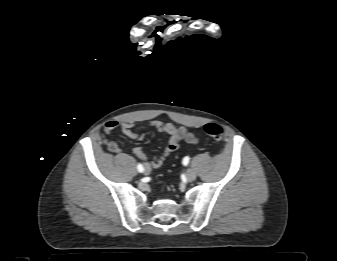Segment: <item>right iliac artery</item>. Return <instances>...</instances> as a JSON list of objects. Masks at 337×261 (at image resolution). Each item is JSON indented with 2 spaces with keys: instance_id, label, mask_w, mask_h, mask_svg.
Segmentation results:
<instances>
[{
  "instance_id": "1",
  "label": "right iliac artery",
  "mask_w": 337,
  "mask_h": 261,
  "mask_svg": "<svg viewBox=\"0 0 337 261\" xmlns=\"http://www.w3.org/2000/svg\"><path fill=\"white\" fill-rule=\"evenodd\" d=\"M137 169H138L139 172H143L144 171V167L140 163L137 165Z\"/></svg>"
}]
</instances>
